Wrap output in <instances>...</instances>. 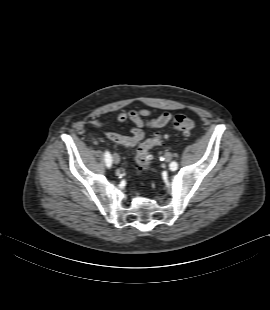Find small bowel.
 <instances>
[{"mask_svg":"<svg viewBox=\"0 0 270 310\" xmlns=\"http://www.w3.org/2000/svg\"><path fill=\"white\" fill-rule=\"evenodd\" d=\"M152 112L146 108L130 109L117 114V121L123 125H131V135H121L114 132L105 133V137L122 146L133 147L145 138V130L148 128H163L172 119L170 112H163L157 117H150ZM90 124L100 127L104 122L100 119H92Z\"/></svg>","mask_w":270,"mask_h":310,"instance_id":"obj_1","label":"small bowel"}]
</instances>
